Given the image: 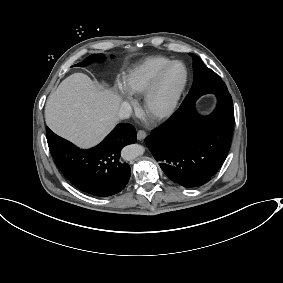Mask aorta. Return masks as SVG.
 <instances>
[{"mask_svg": "<svg viewBox=\"0 0 283 283\" xmlns=\"http://www.w3.org/2000/svg\"><path fill=\"white\" fill-rule=\"evenodd\" d=\"M145 151V148L139 144H131L123 148L121 156L124 160L131 161L141 156Z\"/></svg>", "mask_w": 283, "mask_h": 283, "instance_id": "762f6f07", "label": "aorta"}]
</instances>
